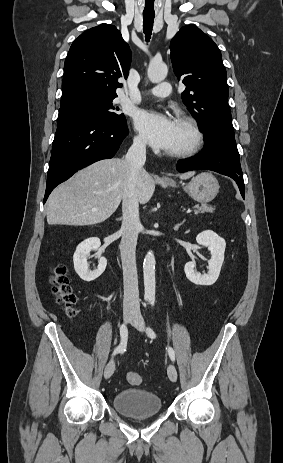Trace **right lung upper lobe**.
<instances>
[{
    "instance_id": "1",
    "label": "right lung upper lobe",
    "mask_w": 283,
    "mask_h": 463,
    "mask_svg": "<svg viewBox=\"0 0 283 463\" xmlns=\"http://www.w3.org/2000/svg\"><path fill=\"white\" fill-rule=\"evenodd\" d=\"M131 51L120 31L101 24L82 33L71 45L64 64L60 107L89 97H116L127 78Z\"/></svg>"
}]
</instances>
